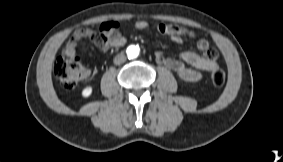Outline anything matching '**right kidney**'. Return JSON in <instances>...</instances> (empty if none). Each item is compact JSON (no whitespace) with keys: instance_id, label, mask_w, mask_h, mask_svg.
<instances>
[{"instance_id":"1","label":"right kidney","mask_w":283,"mask_h":162,"mask_svg":"<svg viewBox=\"0 0 283 162\" xmlns=\"http://www.w3.org/2000/svg\"><path fill=\"white\" fill-rule=\"evenodd\" d=\"M91 93H92V87L91 86H88V87H86L82 90V96L85 97V98L89 97L91 95Z\"/></svg>"}]
</instances>
